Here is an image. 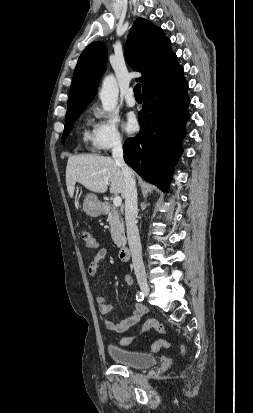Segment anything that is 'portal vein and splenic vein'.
I'll return each mask as SVG.
<instances>
[{
    "mask_svg": "<svg viewBox=\"0 0 253 413\" xmlns=\"http://www.w3.org/2000/svg\"><path fill=\"white\" fill-rule=\"evenodd\" d=\"M105 182H108V179H105ZM113 204L115 207H119L122 204V198L119 196H116L113 200Z\"/></svg>",
    "mask_w": 253,
    "mask_h": 413,
    "instance_id": "portal-vein-and-splenic-vein-1",
    "label": "portal vein and splenic vein"
}]
</instances>
